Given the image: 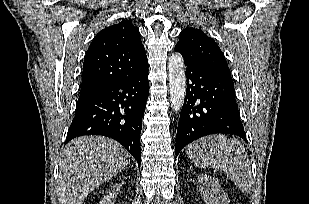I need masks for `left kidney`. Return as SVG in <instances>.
Masks as SVG:
<instances>
[{
  "label": "left kidney",
  "mask_w": 309,
  "mask_h": 204,
  "mask_svg": "<svg viewBox=\"0 0 309 204\" xmlns=\"http://www.w3.org/2000/svg\"><path fill=\"white\" fill-rule=\"evenodd\" d=\"M199 192L206 204H229L218 182L209 175L198 176Z\"/></svg>",
  "instance_id": "1"
}]
</instances>
